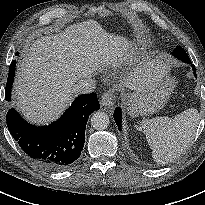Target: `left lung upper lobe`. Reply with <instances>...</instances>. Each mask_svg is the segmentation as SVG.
<instances>
[{
	"instance_id": "1",
	"label": "left lung upper lobe",
	"mask_w": 205,
	"mask_h": 205,
	"mask_svg": "<svg viewBox=\"0 0 205 205\" xmlns=\"http://www.w3.org/2000/svg\"><path fill=\"white\" fill-rule=\"evenodd\" d=\"M173 56H175L176 58L182 60L183 62L189 63L191 62L187 53L185 52V50L181 47V46H177L174 50H173Z\"/></svg>"
}]
</instances>
